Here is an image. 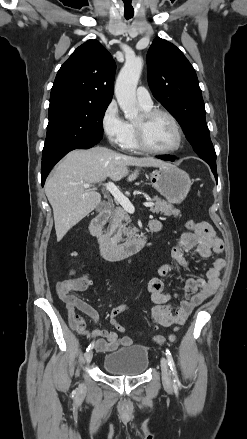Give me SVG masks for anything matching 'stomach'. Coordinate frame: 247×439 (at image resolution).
Wrapping results in <instances>:
<instances>
[{
  "label": "stomach",
  "mask_w": 247,
  "mask_h": 439,
  "mask_svg": "<svg viewBox=\"0 0 247 439\" xmlns=\"http://www.w3.org/2000/svg\"><path fill=\"white\" fill-rule=\"evenodd\" d=\"M152 186L170 203H181L190 191L189 175L174 165L160 167L150 173Z\"/></svg>",
  "instance_id": "stomach-1"
}]
</instances>
